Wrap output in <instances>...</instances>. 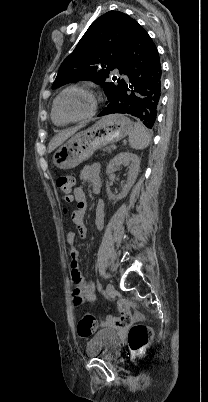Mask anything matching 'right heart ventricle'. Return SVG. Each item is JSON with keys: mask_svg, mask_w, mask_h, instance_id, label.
<instances>
[{"mask_svg": "<svg viewBox=\"0 0 208 402\" xmlns=\"http://www.w3.org/2000/svg\"><path fill=\"white\" fill-rule=\"evenodd\" d=\"M51 120H52V123L57 127H63L65 125H67L66 122L62 121L59 118V116L56 114L54 108L51 109Z\"/></svg>", "mask_w": 208, "mask_h": 402, "instance_id": "e07e8e85", "label": "right heart ventricle"}]
</instances>
